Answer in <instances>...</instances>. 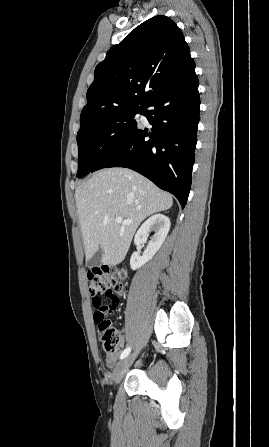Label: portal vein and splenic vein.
Wrapping results in <instances>:
<instances>
[{
  "mask_svg": "<svg viewBox=\"0 0 269 447\" xmlns=\"http://www.w3.org/2000/svg\"><path fill=\"white\" fill-rule=\"evenodd\" d=\"M115 222H117V224H132V220H123V218H116Z\"/></svg>",
  "mask_w": 269,
  "mask_h": 447,
  "instance_id": "1",
  "label": "portal vein and splenic vein"
}]
</instances>
